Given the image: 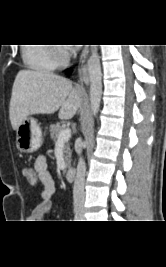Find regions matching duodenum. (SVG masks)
<instances>
[{
  "mask_svg": "<svg viewBox=\"0 0 166 267\" xmlns=\"http://www.w3.org/2000/svg\"><path fill=\"white\" fill-rule=\"evenodd\" d=\"M76 177V169L74 167H70L67 169L66 173H65V178L68 181H73Z\"/></svg>",
  "mask_w": 166,
  "mask_h": 267,
  "instance_id": "obj_1",
  "label": "duodenum"
}]
</instances>
